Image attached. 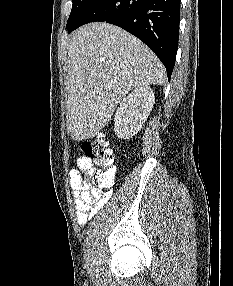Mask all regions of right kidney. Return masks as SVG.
<instances>
[{
  "instance_id": "ca27d5eb",
  "label": "right kidney",
  "mask_w": 233,
  "mask_h": 286,
  "mask_svg": "<svg viewBox=\"0 0 233 286\" xmlns=\"http://www.w3.org/2000/svg\"><path fill=\"white\" fill-rule=\"evenodd\" d=\"M154 102V92L148 85L135 88L123 98L114 118V131L118 138L129 139L137 134L150 115Z\"/></svg>"
}]
</instances>
